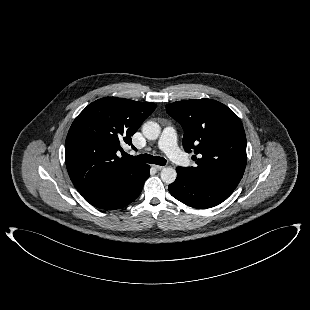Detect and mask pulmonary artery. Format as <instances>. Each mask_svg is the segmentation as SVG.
Listing matches in <instances>:
<instances>
[{
	"instance_id": "obj_1",
	"label": "pulmonary artery",
	"mask_w": 310,
	"mask_h": 310,
	"mask_svg": "<svg viewBox=\"0 0 310 310\" xmlns=\"http://www.w3.org/2000/svg\"><path fill=\"white\" fill-rule=\"evenodd\" d=\"M158 147L175 163L184 164L187 161L183 152L177 146L176 131L173 127L163 129Z\"/></svg>"
}]
</instances>
